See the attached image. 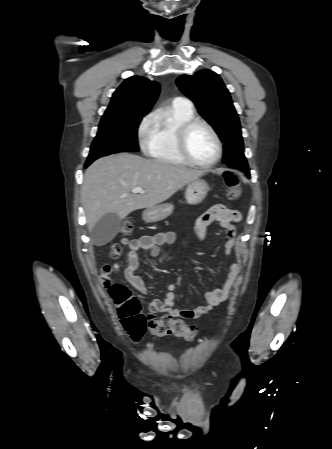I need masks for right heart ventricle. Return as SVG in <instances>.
<instances>
[{
	"instance_id": "right-heart-ventricle-1",
	"label": "right heart ventricle",
	"mask_w": 332,
	"mask_h": 449,
	"mask_svg": "<svg viewBox=\"0 0 332 449\" xmlns=\"http://www.w3.org/2000/svg\"><path fill=\"white\" fill-rule=\"evenodd\" d=\"M194 118L192 108L174 104L155 120L153 133L146 147L147 154L159 161L171 164L187 163L179 154L176 146L178 127Z\"/></svg>"
}]
</instances>
